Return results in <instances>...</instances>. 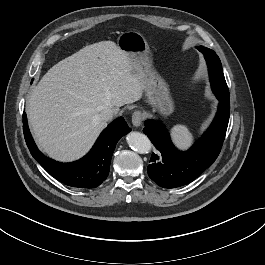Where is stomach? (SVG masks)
<instances>
[{
	"instance_id": "obj_1",
	"label": "stomach",
	"mask_w": 265,
	"mask_h": 265,
	"mask_svg": "<svg viewBox=\"0 0 265 265\" xmlns=\"http://www.w3.org/2000/svg\"><path fill=\"white\" fill-rule=\"evenodd\" d=\"M117 45L141 67L145 95L149 104L163 116L173 112V101L165 81L152 69L149 46L142 34L128 31L118 37Z\"/></svg>"
}]
</instances>
